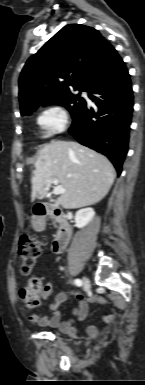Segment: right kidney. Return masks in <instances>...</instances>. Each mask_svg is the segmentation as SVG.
<instances>
[{"mask_svg":"<svg viewBox=\"0 0 145 385\" xmlns=\"http://www.w3.org/2000/svg\"><path fill=\"white\" fill-rule=\"evenodd\" d=\"M95 212L92 208H84L75 214V223L78 228L85 227L94 217Z\"/></svg>","mask_w":145,"mask_h":385,"instance_id":"1","label":"right kidney"}]
</instances>
